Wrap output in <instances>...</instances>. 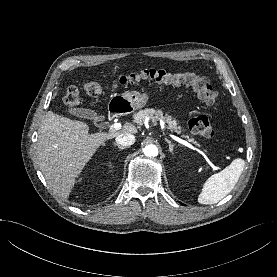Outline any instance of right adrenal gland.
<instances>
[{"instance_id":"2a0ac1e0","label":"right adrenal gland","mask_w":277,"mask_h":277,"mask_svg":"<svg viewBox=\"0 0 277 277\" xmlns=\"http://www.w3.org/2000/svg\"><path fill=\"white\" fill-rule=\"evenodd\" d=\"M114 146H117L120 150L126 149V147L121 146V145H119V144H117V143H114Z\"/></svg>"}]
</instances>
